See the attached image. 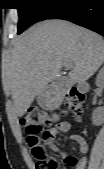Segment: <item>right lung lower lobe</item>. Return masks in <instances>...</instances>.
I'll return each mask as SVG.
<instances>
[{"mask_svg":"<svg viewBox=\"0 0 104 169\" xmlns=\"http://www.w3.org/2000/svg\"><path fill=\"white\" fill-rule=\"evenodd\" d=\"M49 19H64L104 36V0H75Z\"/></svg>","mask_w":104,"mask_h":169,"instance_id":"obj_1","label":"right lung lower lobe"}]
</instances>
